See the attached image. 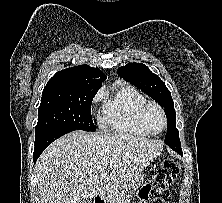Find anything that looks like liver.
I'll list each match as a JSON object with an SVG mask.
<instances>
[{
  "label": "liver",
  "mask_w": 222,
  "mask_h": 203,
  "mask_svg": "<svg viewBox=\"0 0 222 203\" xmlns=\"http://www.w3.org/2000/svg\"><path fill=\"white\" fill-rule=\"evenodd\" d=\"M157 140L127 133L73 131L54 141L36 162L40 203H80L117 197L162 152Z\"/></svg>",
  "instance_id": "obj_1"
}]
</instances>
